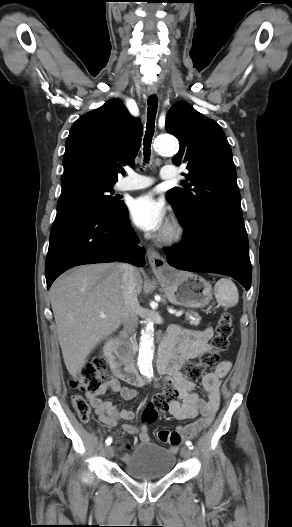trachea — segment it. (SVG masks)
Listing matches in <instances>:
<instances>
[{
	"label": "trachea",
	"mask_w": 292,
	"mask_h": 527,
	"mask_svg": "<svg viewBox=\"0 0 292 527\" xmlns=\"http://www.w3.org/2000/svg\"><path fill=\"white\" fill-rule=\"evenodd\" d=\"M157 108H158V99L155 95H152L148 98L147 124H146L145 136L143 139V145H144L143 150H144L145 162H148L150 158V146H151V141H152V137L154 134Z\"/></svg>",
	"instance_id": "trachea-1"
}]
</instances>
